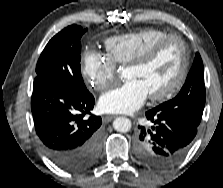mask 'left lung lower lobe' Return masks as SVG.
Instances as JSON below:
<instances>
[{"instance_id":"1","label":"left lung lower lobe","mask_w":223,"mask_h":188,"mask_svg":"<svg viewBox=\"0 0 223 188\" xmlns=\"http://www.w3.org/2000/svg\"><path fill=\"white\" fill-rule=\"evenodd\" d=\"M146 117L153 126L150 129L138 127L135 149L139 160L155 168L177 163L188 152L197 127L171 119L154 108L146 112Z\"/></svg>"}]
</instances>
